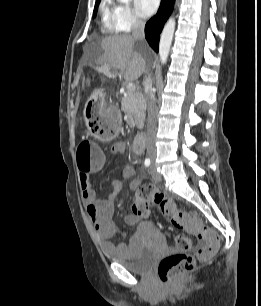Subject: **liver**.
I'll list each match as a JSON object with an SVG mask.
<instances>
[{"mask_svg":"<svg viewBox=\"0 0 261 306\" xmlns=\"http://www.w3.org/2000/svg\"><path fill=\"white\" fill-rule=\"evenodd\" d=\"M136 39L131 35H114L103 38L100 48L104 51L99 60L105 68L124 71V79L132 82L138 79L146 70V61L143 56L134 50ZM90 85V79L86 80Z\"/></svg>","mask_w":261,"mask_h":306,"instance_id":"obj_1","label":"liver"}]
</instances>
